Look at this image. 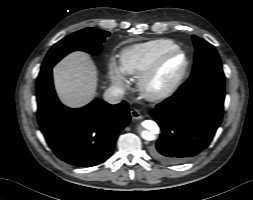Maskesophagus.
<instances>
[{
  "instance_id": "1",
  "label": "esophagus",
  "mask_w": 253,
  "mask_h": 200,
  "mask_svg": "<svg viewBox=\"0 0 253 200\" xmlns=\"http://www.w3.org/2000/svg\"><path fill=\"white\" fill-rule=\"evenodd\" d=\"M130 115H131L132 119H134V120H140L143 118L141 113L136 109L131 110Z\"/></svg>"
}]
</instances>
